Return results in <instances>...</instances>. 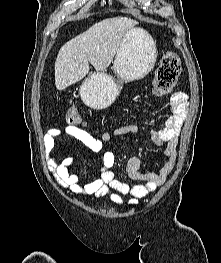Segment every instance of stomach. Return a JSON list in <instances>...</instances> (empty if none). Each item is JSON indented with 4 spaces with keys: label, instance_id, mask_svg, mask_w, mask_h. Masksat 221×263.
Wrapping results in <instances>:
<instances>
[{
    "label": "stomach",
    "instance_id": "obj_1",
    "mask_svg": "<svg viewBox=\"0 0 221 263\" xmlns=\"http://www.w3.org/2000/svg\"><path fill=\"white\" fill-rule=\"evenodd\" d=\"M157 47L152 37L143 29L129 30L117 50L113 69L120 81L104 72L90 74L80 87V96L90 108H108L118 97L122 82L144 78L154 67Z\"/></svg>",
    "mask_w": 221,
    "mask_h": 263
}]
</instances>
